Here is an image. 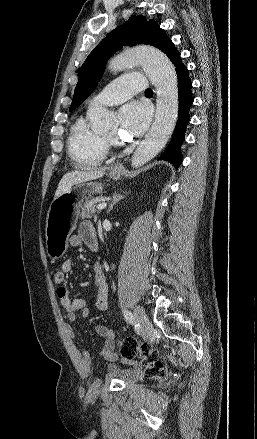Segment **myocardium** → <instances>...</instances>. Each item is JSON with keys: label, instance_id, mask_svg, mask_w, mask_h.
<instances>
[{"label": "myocardium", "instance_id": "myocardium-1", "mask_svg": "<svg viewBox=\"0 0 257 439\" xmlns=\"http://www.w3.org/2000/svg\"><path fill=\"white\" fill-rule=\"evenodd\" d=\"M105 142L108 144H114L115 140H114V138H105Z\"/></svg>", "mask_w": 257, "mask_h": 439}]
</instances>
